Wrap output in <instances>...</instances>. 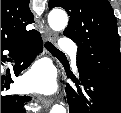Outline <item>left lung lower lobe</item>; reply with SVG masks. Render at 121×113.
Returning a JSON list of instances; mask_svg holds the SVG:
<instances>
[{"mask_svg": "<svg viewBox=\"0 0 121 113\" xmlns=\"http://www.w3.org/2000/svg\"><path fill=\"white\" fill-rule=\"evenodd\" d=\"M79 74L80 81L68 76L77 86L67 85L70 113H121V89L92 71L81 69Z\"/></svg>", "mask_w": 121, "mask_h": 113, "instance_id": "1", "label": "left lung lower lobe"}]
</instances>
